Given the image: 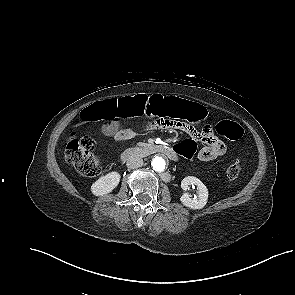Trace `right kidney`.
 <instances>
[{"label": "right kidney", "mask_w": 295, "mask_h": 295, "mask_svg": "<svg viewBox=\"0 0 295 295\" xmlns=\"http://www.w3.org/2000/svg\"><path fill=\"white\" fill-rule=\"evenodd\" d=\"M120 178V174L115 171L100 177L91 186L92 194L95 196H103L112 192L118 186Z\"/></svg>", "instance_id": "ca27d5eb"}]
</instances>
